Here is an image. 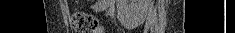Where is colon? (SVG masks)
Segmentation results:
<instances>
[{
    "label": "colon",
    "instance_id": "colon-1",
    "mask_svg": "<svg viewBox=\"0 0 235 33\" xmlns=\"http://www.w3.org/2000/svg\"><path fill=\"white\" fill-rule=\"evenodd\" d=\"M75 33H102L103 27L98 19L84 12H76L72 16Z\"/></svg>",
    "mask_w": 235,
    "mask_h": 33
}]
</instances>
